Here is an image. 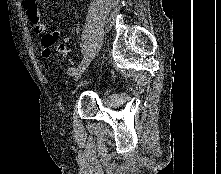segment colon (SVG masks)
<instances>
[{
	"label": "colon",
	"instance_id": "colon-1",
	"mask_svg": "<svg viewBox=\"0 0 221 174\" xmlns=\"http://www.w3.org/2000/svg\"><path fill=\"white\" fill-rule=\"evenodd\" d=\"M58 32H55L52 36H51V39H55V40H57L58 39ZM66 49V47L63 45V44H61V45H59L58 47H57V51H63V50H65Z\"/></svg>",
	"mask_w": 221,
	"mask_h": 174
}]
</instances>
